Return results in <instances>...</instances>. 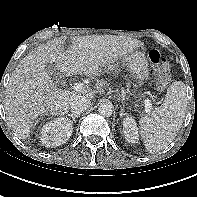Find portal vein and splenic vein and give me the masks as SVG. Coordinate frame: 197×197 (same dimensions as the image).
I'll return each instance as SVG.
<instances>
[{"label": "portal vein and splenic vein", "instance_id": "obj_1", "mask_svg": "<svg viewBox=\"0 0 197 197\" xmlns=\"http://www.w3.org/2000/svg\"><path fill=\"white\" fill-rule=\"evenodd\" d=\"M73 87L76 92H79V91L83 90L84 84L83 83H75ZM144 104H145V112L149 113L152 109V104H151L150 100L145 99Z\"/></svg>", "mask_w": 197, "mask_h": 197}]
</instances>
